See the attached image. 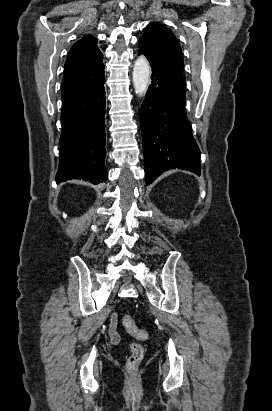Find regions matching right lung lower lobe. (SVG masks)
<instances>
[{"label": "right lung lower lobe", "instance_id": "1", "mask_svg": "<svg viewBox=\"0 0 272 411\" xmlns=\"http://www.w3.org/2000/svg\"><path fill=\"white\" fill-rule=\"evenodd\" d=\"M104 75L93 87L62 98V133L58 183L83 179L93 184L108 179L105 168Z\"/></svg>", "mask_w": 272, "mask_h": 411}]
</instances>
